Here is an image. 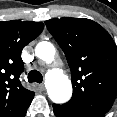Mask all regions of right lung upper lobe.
Wrapping results in <instances>:
<instances>
[{
    "label": "right lung upper lobe",
    "instance_id": "obj_1",
    "mask_svg": "<svg viewBox=\"0 0 117 117\" xmlns=\"http://www.w3.org/2000/svg\"><path fill=\"white\" fill-rule=\"evenodd\" d=\"M43 28L41 22H0V117H19L34 97L19 79L24 70L21 51Z\"/></svg>",
    "mask_w": 117,
    "mask_h": 117
}]
</instances>
